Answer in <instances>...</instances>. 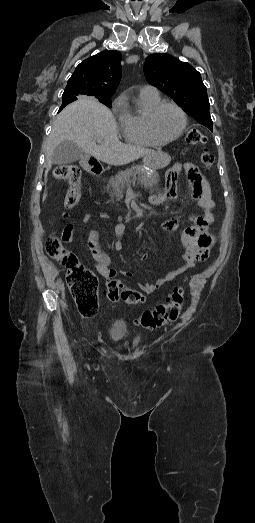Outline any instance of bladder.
I'll use <instances>...</instances> for the list:
<instances>
[{
  "label": "bladder",
  "mask_w": 255,
  "mask_h": 523,
  "mask_svg": "<svg viewBox=\"0 0 255 523\" xmlns=\"http://www.w3.org/2000/svg\"><path fill=\"white\" fill-rule=\"evenodd\" d=\"M127 331V324L122 319L113 321L111 325V336L115 339H120Z\"/></svg>",
  "instance_id": "31cf9c89"
}]
</instances>
